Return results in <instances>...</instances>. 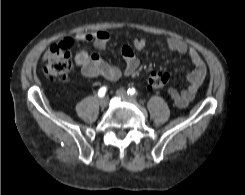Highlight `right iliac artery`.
I'll list each match as a JSON object with an SVG mask.
<instances>
[{
	"label": "right iliac artery",
	"instance_id": "right-iliac-artery-1",
	"mask_svg": "<svg viewBox=\"0 0 245 195\" xmlns=\"http://www.w3.org/2000/svg\"><path fill=\"white\" fill-rule=\"evenodd\" d=\"M106 92H107V87H101L100 89H99V91H98V96L99 97H104V95L106 94Z\"/></svg>",
	"mask_w": 245,
	"mask_h": 195
}]
</instances>
